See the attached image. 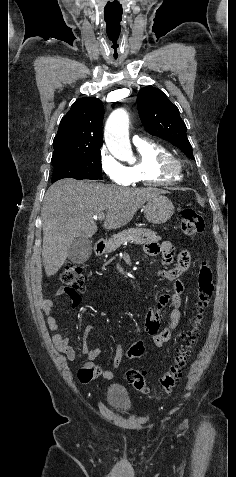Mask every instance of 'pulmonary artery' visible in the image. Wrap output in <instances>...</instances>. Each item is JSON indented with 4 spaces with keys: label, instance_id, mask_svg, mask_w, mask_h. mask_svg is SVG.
Returning a JSON list of instances; mask_svg holds the SVG:
<instances>
[{
    "label": "pulmonary artery",
    "instance_id": "e3ab8cb5",
    "mask_svg": "<svg viewBox=\"0 0 236 477\" xmlns=\"http://www.w3.org/2000/svg\"><path fill=\"white\" fill-rule=\"evenodd\" d=\"M134 144L140 142L142 139L140 138V136L138 135H134L133 138H132Z\"/></svg>",
    "mask_w": 236,
    "mask_h": 477
}]
</instances>
